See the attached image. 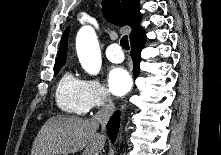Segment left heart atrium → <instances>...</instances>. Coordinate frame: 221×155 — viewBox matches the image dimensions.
Here are the masks:
<instances>
[{"label": "left heart atrium", "mask_w": 221, "mask_h": 155, "mask_svg": "<svg viewBox=\"0 0 221 155\" xmlns=\"http://www.w3.org/2000/svg\"><path fill=\"white\" fill-rule=\"evenodd\" d=\"M108 84L113 94L122 96L129 91L131 87V78L124 68L116 67L109 72Z\"/></svg>", "instance_id": "left-heart-atrium-1"}]
</instances>
